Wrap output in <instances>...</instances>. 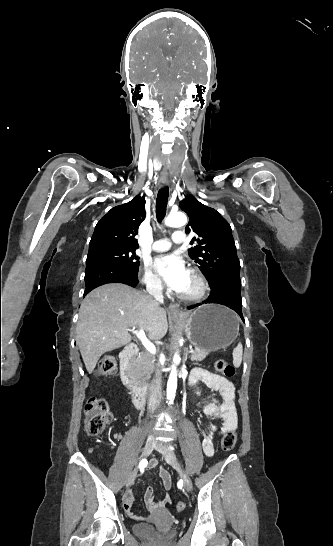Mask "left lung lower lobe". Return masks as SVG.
I'll return each mask as SVG.
<instances>
[{"mask_svg":"<svg viewBox=\"0 0 333 546\" xmlns=\"http://www.w3.org/2000/svg\"><path fill=\"white\" fill-rule=\"evenodd\" d=\"M211 293L207 300L202 302L217 303L225 305L236 311L244 321L242 315V300H241V281L240 274H233L218 279L214 284L210 285ZM201 303L189 306L188 309L195 308Z\"/></svg>","mask_w":333,"mask_h":546,"instance_id":"1","label":"left lung lower lobe"}]
</instances>
